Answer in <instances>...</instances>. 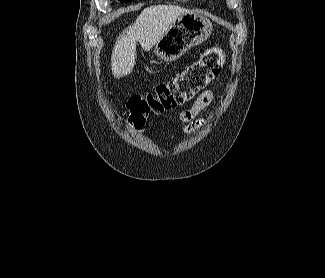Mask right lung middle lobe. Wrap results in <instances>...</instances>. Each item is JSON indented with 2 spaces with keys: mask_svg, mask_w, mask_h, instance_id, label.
<instances>
[{
  "mask_svg": "<svg viewBox=\"0 0 325 278\" xmlns=\"http://www.w3.org/2000/svg\"><path fill=\"white\" fill-rule=\"evenodd\" d=\"M131 0H121V2H125V3H127V2H130Z\"/></svg>",
  "mask_w": 325,
  "mask_h": 278,
  "instance_id": "1",
  "label": "right lung middle lobe"
}]
</instances>
